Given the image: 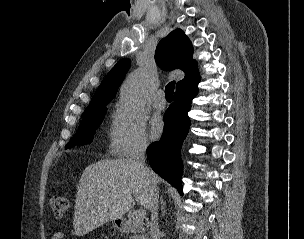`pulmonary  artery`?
<instances>
[{"label": "pulmonary artery", "instance_id": "e3ab8cb5", "mask_svg": "<svg viewBox=\"0 0 304 239\" xmlns=\"http://www.w3.org/2000/svg\"><path fill=\"white\" fill-rule=\"evenodd\" d=\"M153 105L157 109H163L166 106V101L164 99L163 91L159 90L156 92L153 98Z\"/></svg>", "mask_w": 304, "mask_h": 239}]
</instances>
